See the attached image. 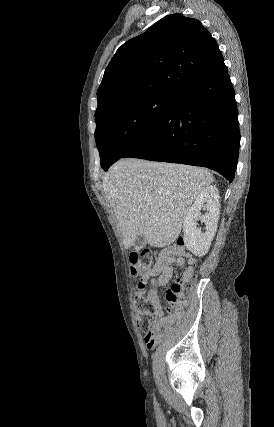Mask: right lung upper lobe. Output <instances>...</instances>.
<instances>
[{"mask_svg": "<svg viewBox=\"0 0 274 427\" xmlns=\"http://www.w3.org/2000/svg\"><path fill=\"white\" fill-rule=\"evenodd\" d=\"M225 67L216 41L199 20L168 15L117 50L97 91L95 117L132 97L175 96Z\"/></svg>", "mask_w": 274, "mask_h": 427, "instance_id": "cb5924a9", "label": "right lung upper lobe"}]
</instances>
